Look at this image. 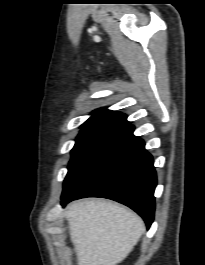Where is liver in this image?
Masks as SVG:
<instances>
[{
	"label": "liver",
	"instance_id": "1",
	"mask_svg": "<svg viewBox=\"0 0 205 265\" xmlns=\"http://www.w3.org/2000/svg\"><path fill=\"white\" fill-rule=\"evenodd\" d=\"M77 265H117L145 232L143 220L112 202L81 200L65 212Z\"/></svg>",
	"mask_w": 205,
	"mask_h": 265
}]
</instances>
